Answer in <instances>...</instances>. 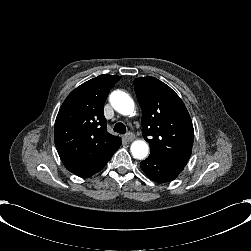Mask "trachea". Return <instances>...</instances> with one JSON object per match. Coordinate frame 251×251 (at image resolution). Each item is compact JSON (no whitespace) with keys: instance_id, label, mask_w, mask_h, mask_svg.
<instances>
[{"instance_id":"3493384b","label":"trachea","mask_w":251,"mask_h":251,"mask_svg":"<svg viewBox=\"0 0 251 251\" xmlns=\"http://www.w3.org/2000/svg\"><path fill=\"white\" fill-rule=\"evenodd\" d=\"M114 131L120 134H125L126 133V126L122 122H118L114 126Z\"/></svg>"}]
</instances>
